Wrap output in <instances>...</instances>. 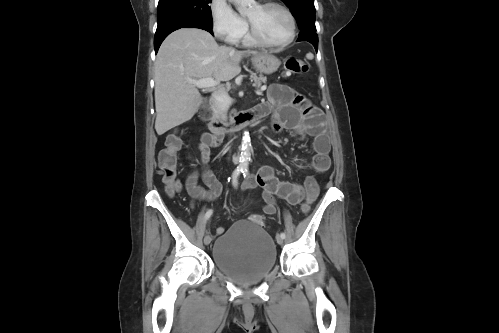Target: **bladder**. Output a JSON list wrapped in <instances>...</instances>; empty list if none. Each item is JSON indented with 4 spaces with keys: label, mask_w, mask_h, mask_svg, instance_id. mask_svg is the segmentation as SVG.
<instances>
[{
    "label": "bladder",
    "mask_w": 499,
    "mask_h": 333,
    "mask_svg": "<svg viewBox=\"0 0 499 333\" xmlns=\"http://www.w3.org/2000/svg\"><path fill=\"white\" fill-rule=\"evenodd\" d=\"M212 256L218 270L240 283L265 278L277 264L272 236L260 224L246 220L235 222L217 238Z\"/></svg>",
    "instance_id": "bladder-1"
}]
</instances>
